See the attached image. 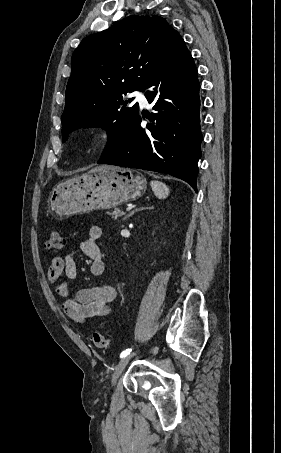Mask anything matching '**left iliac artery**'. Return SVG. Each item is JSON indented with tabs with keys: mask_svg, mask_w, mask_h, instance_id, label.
<instances>
[{
	"mask_svg": "<svg viewBox=\"0 0 281 453\" xmlns=\"http://www.w3.org/2000/svg\"><path fill=\"white\" fill-rule=\"evenodd\" d=\"M131 351H132V349H126L125 351H123V352L120 354V357H121V358L126 357L128 354H130Z\"/></svg>",
	"mask_w": 281,
	"mask_h": 453,
	"instance_id": "1",
	"label": "left iliac artery"
}]
</instances>
